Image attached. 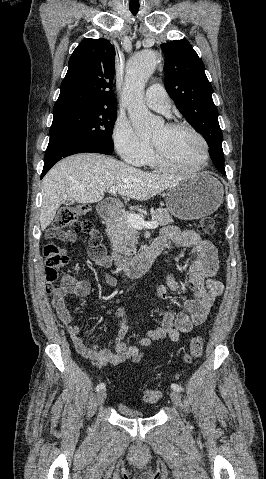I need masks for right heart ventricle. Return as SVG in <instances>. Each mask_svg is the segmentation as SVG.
<instances>
[{
    "mask_svg": "<svg viewBox=\"0 0 266 479\" xmlns=\"http://www.w3.org/2000/svg\"><path fill=\"white\" fill-rule=\"evenodd\" d=\"M144 165H147L151 168H157V165L152 157H150Z\"/></svg>",
    "mask_w": 266,
    "mask_h": 479,
    "instance_id": "obj_1",
    "label": "right heart ventricle"
}]
</instances>
